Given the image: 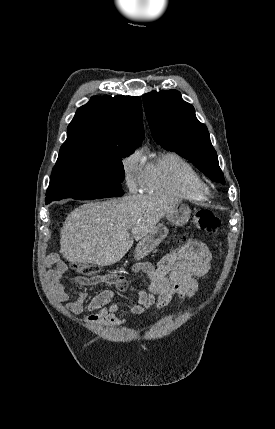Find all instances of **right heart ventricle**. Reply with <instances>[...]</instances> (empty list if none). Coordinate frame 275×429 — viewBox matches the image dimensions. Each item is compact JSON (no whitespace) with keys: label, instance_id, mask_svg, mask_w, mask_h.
Returning <instances> with one entry per match:
<instances>
[{"label":"right heart ventricle","instance_id":"e07e8e85","mask_svg":"<svg viewBox=\"0 0 275 429\" xmlns=\"http://www.w3.org/2000/svg\"><path fill=\"white\" fill-rule=\"evenodd\" d=\"M206 183L199 172L175 152H163L144 168L143 189L147 193L187 201H204Z\"/></svg>","mask_w":275,"mask_h":429}]
</instances>
